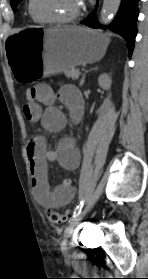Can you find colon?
<instances>
[{
    "instance_id": "colon-1",
    "label": "colon",
    "mask_w": 148,
    "mask_h": 279,
    "mask_svg": "<svg viewBox=\"0 0 148 279\" xmlns=\"http://www.w3.org/2000/svg\"><path fill=\"white\" fill-rule=\"evenodd\" d=\"M25 98L27 102H32L35 98V90L34 87H29L25 90ZM45 216L49 222L53 224H62L67 221L68 214L61 213L57 210H53L51 208H47L45 211Z\"/></svg>"
}]
</instances>
